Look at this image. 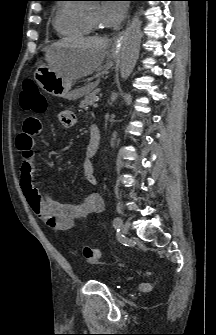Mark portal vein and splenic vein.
Segmentation results:
<instances>
[{
    "instance_id": "obj_1",
    "label": "portal vein and splenic vein",
    "mask_w": 216,
    "mask_h": 335,
    "mask_svg": "<svg viewBox=\"0 0 216 335\" xmlns=\"http://www.w3.org/2000/svg\"><path fill=\"white\" fill-rule=\"evenodd\" d=\"M98 101H99V99L97 98V99L95 100V103L93 104V107H94V108H97V107H98Z\"/></svg>"
}]
</instances>
